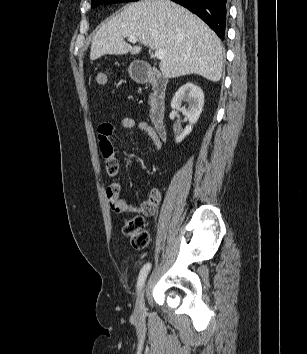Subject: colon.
I'll return each mask as SVG.
<instances>
[{
    "mask_svg": "<svg viewBox=\"0 0 307 354\" xmlns=\"http://www.w3.org/2000/svg\"><path fill=\"white\" fill-rule=\"evenodd\" d=\"M95 81L100 86L108 83V72L104 69L97 70L94 75ZM106 144L102 143V146ZM119 214L128 212L119 206L115 207ZM123 233L128 238L130 245L137 250L144 249L149 244V234L145 230V219L141 215H136L124 219Z\"/></svg>",
    "mask_w": 307,
    "mask_h": 354,
    "instance_id": "1",
    "label": "colon"
}]
</instances>
